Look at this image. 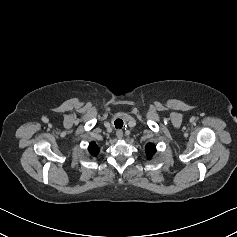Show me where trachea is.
Segmentation results:
<instances>
[{
    "instance_id": "obj_1",
    "label": "trachea",
    "mask_w": 237,
    "mask_h": 237,
    "mask_svg": "<svg viewBox=\"0 0 237 237\" xmlns=\"http://www.w3.org/2000/svg\"><path fill=\"white\" fill-rule=\"evenodd\" d=\"M114 125H115L116 128L121 129L123 127V120L116 119L115 122H114Z\"/></svg>"
}]
</instances>
